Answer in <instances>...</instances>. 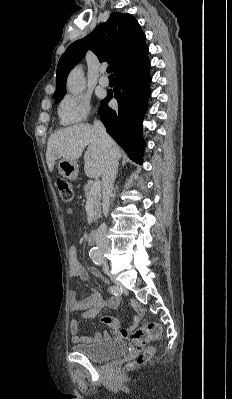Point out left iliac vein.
<instances>
[{"label":"left iliac vein","mask_w":232,"mask_h":399,"mask_svg":"<svg viewBox=\"0 0 232 399\" xmlns=\"http://www.w3.org/2000/svg\"><path fill=\"white\" fill-rule=\"evenodd\" d=\"M108 269H109V266H108V265H105L104 268H103V272H104L105 275H108V274H109Z\"/></svg>","instance_id":"obj_1"}]
</instances>
